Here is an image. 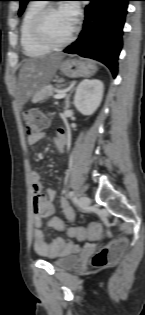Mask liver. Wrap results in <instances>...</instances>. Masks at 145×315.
Here are the masks:
<instances>
[{"instance_id": "liver-1", "label": "liver", "mask_w": 145, "mask_h": 315, "mask_svg": "<svg viewBox=\"0 0 145 315\" xmlns=\"http://www.w3.org/2000/svg\"><path fill=\"white\" fill-rule=\"evenodd\" d=\"M63 58V54L57 53L24 61L16 92V103L19 108L52 80Z\"/></svg>"}]
</instances>
